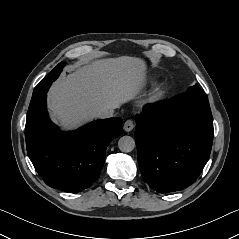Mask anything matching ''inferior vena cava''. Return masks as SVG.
<instances>
[{
    "label": "inferior vena cava",
    "mask_w": 239,
    "mask_h": 239,
    "mask_svg": "<svg viewBox=\"0 0 239 239\" xmlns=\"http://www.w3.org/2000/svg\"><path fill=\"white\" fill-rule=\"evenodd\" d=\"M114 108L106 109L97 114L98 118H109L114 116Z\"/></svg>",
    "instance_id": "1"
}]
</instances>
